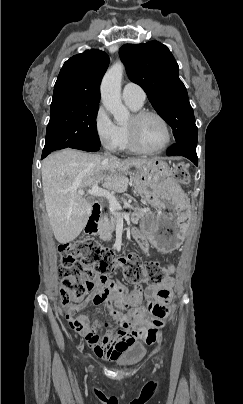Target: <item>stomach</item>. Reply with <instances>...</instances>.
I'll use <instances>...</instances> for the list:
<instances>
[{"mask_svg": "<svg viewBox=\"0 0 243 404\" xmlns=\"http://www.w3.org/2000/svg\"><path fill=\"white\" fill-rule=\"evenodd\" d=\"M132 180L137 192L155 210L141 218L140 229L162 252L177 249L189 226L190 203L180 185L170 176L168 164L153 158L137 168Z\"/></svg>", "mask_w": 243, "mask_h": 404, "instance_id": "stomach-1", "label": "stomach"}]
</instances>
